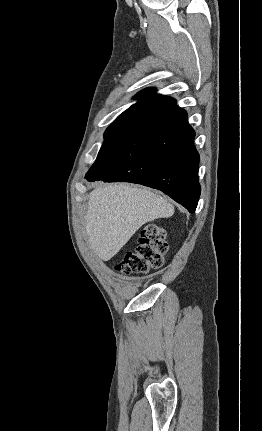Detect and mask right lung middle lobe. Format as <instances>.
I'll use <instances>...</instances> for the list:
<instances>
[{"label":"right lung middle lobe","instance_id":"dd1d6c3e","mask_svg":"<svg viewBox=\"0 0 262 431\" xmlns=\"http://www.w3.org/2000/svg\"><path fill=\"white\" fill-rule=\"evenodd\" d=\"M130 126L110 125L104 134V143L99 151L96 161L109 149V147L127 130ZM95 161V162H96Z\"/></svg>","mask_w":262,"mask_h":431}]
</instances>
